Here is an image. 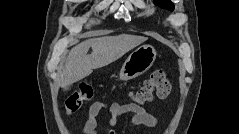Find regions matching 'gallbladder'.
Segmentation results:
<instances>
[{
    "label": "gallbladder",
    "mask_w": 239,
    "mask_h": 134,
    "mask_svg": "<svg viewBox=\"0 0 239 134\" xmlns=\"http://www.w3.org/2000/svg\"><path fill=\"white\" fill-rule=\"evenodd\" d=\"M69 87H70V85L63 86V89H64V90H68V89H69Z\"/></svg>",
    "instance_id": "1"
}]
</instances>
